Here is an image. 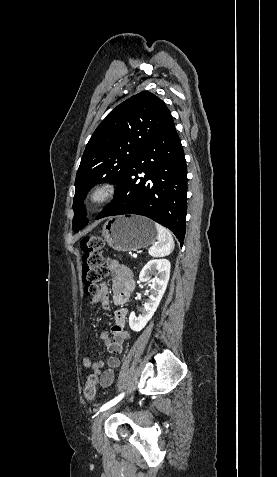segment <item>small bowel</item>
I'll return each mask as SVG.
<instances>
[{"instance_id":"1","label":"small bowel","mask_w":277,"mask_h":477,"mask_svg":"<svg viewBox=\"0 0 277 477\" xmlns=\"http://www.w3.org/2000/svg\"><path fill=\"white\" fill-rule=\"evenodd\" d=\"M107 266L113 276V303L121 306L128 301L135 288L132 272L128 267L114 259H108ZM93 302H100L104 309L110 308V293L107 286H102L99 298ZM126 317L127 309L123 307L119 308L114 314L115 323L111 330V336L107 332L100 334V338L110 352V356L106 362L108 366L106 370H102L105 365L103 360L92 362L88 356L83 358L84 367L92 370V374L99 378V383L104 388L109 387L113 383L115 376L114 370L120 366V360L117 354L122 351L124 342L129 338V333L125 330Z\"/></svg>"}]
</instances>
